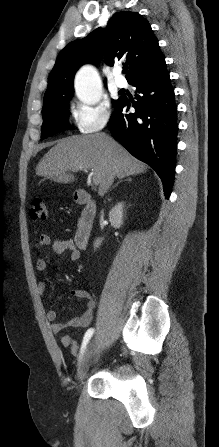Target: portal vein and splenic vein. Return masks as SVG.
<instances>
[{"label":"portal vein and splenic vein","instance_id":"1","mask_svg":"<svg viewBox=\"0 0 219 447\" xmlns=\"http://www.w3.org/2000/svg\"><path fill=\"white\" fill-rule=\"evenodd\" d=\"M93 184L98 185V181L93 177Z\"/></svg>","mask_w":219,"mask_h":447}]
</instances>
